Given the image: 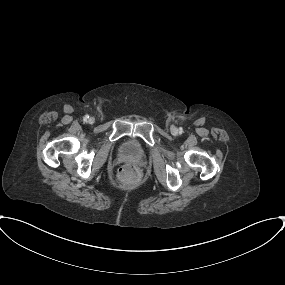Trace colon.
<instances>
[{
	"mask_svg": "<svg viewBox=\"0 0 285 285\" xmlns=\"http://www.w3.org/2000/svg\"><path fill=\"white\" fill-rule=\"evenodd\" d=\"M136 173H137V167L132 163H128L121 168L119 172V177L121 179L127 180L135 177Z\"/></svg>",
	"mask_w": 285,
	"mask_h": 285,
	"instance_id": "5ec220e1",
	"label": "colon"
}]
</instances>
